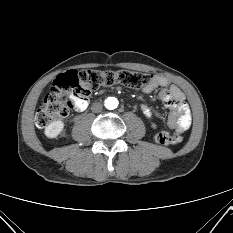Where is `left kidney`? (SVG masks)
I'll return each mask as SVG.
<instances>
[{
    "mask_svg": "<svg viewBox=\"0 0 233 233\" xmlns=\"http://www.w3.org/2000/svg\"><path fill=\"white\" fill-rule=\"evenodd\" d=\"M152 127H153V128H156V125L153 123V124H152Z\"/></svg>",
    "mask_w": 233,
    "mask_h": 233,
    "instance_id": "left-kidney-1",
    "label": "left kidney"
}]
</instances>
